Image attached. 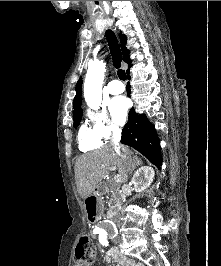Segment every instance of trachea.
Here are the masks:
<instances>
[{"label": "trachea", "instance_id": "3493384b", "mask_svg": "<svg viewBox=\"0 0 221 266\" xmlns=\"http://www.w3.org/2000/svg\"><path fill=\"white\" fill-rule=\"evenodd\" d=\"M105 36L109 45L110 53L113 60V65L118 69V77L121 80H126L127 76L124 70L120 69L122 62V52L118 44L117 38L112 30H107Z\"/></svg>", "mask_w": 221, "mask_h": 266}]
</instances>
